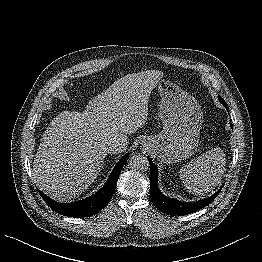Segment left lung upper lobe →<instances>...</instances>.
<instances>
[{"instance_id":"obj_1","label":"left lung upper lobe","mask_w":262,"mask_h":262,"mask_svg":"<svg viewBox=\"0 0 262 262\" xmlns=\"http://www.w3.org/2000/svg\"><path fill=\"white\" fill-rule=\"evenodd\" d=\"M219 97V100L220 102L223 104V105H227L226 102L222 99V97L218 96Z\"/></svg>"}]
</instances>
